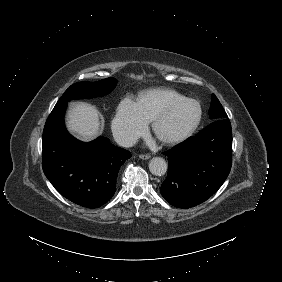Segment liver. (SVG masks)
Instances as JSON below:
<instances>
[{
    "label": "liver",
    "mask_w": 282,
    "mask_h": 282,
    "mask_svg": "<svg viewBox=\"0 0 282 282\" xmlns=\"http://www.w3.org/2000/svg\"><path fill=\"white\" fill-rule=\"evenodd\" d=\"M67 127L84 141L94 139L100 134L98 110L85 102L73 104L67 114Z\"/></svg>",
    "instance_id": "obj_1"
}]
</instances>
